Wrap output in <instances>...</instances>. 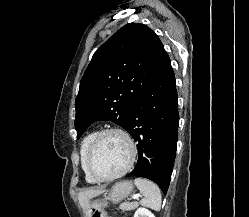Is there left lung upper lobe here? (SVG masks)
<instances>
[{"mask_svg":"<svg viewBox=\"0 0 249 217\" xmlns=\"http://www.w3.org/2000/svg\"><path fill=\"white\" fill-rule=\"evenodd\" d=\"M169 56L146 25L129 23L93 55L75 100L77 138L89 124L109 120L127 129L130 113Z\"/></svg>","mask_w":249,"mask_h":217,"instance_id":"obj_1","label":"left lung upper lobe"}]
</instances>
